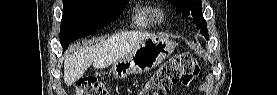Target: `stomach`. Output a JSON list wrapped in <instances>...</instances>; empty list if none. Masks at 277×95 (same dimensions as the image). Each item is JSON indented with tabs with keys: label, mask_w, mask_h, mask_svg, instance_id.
<instances>
[{
	"label": "stomach",
	"mask_w": 277,
	"mask_h": 95,
	"mask_svg": "<svg viewBox=\"0 0 277 95\" xmlns=\"http://www.w3.org/2000/svg\"><path fill=\"white\" fill-rule=\"evenodd\" d=\"M174 48L175 44L169 38L160 36L148 38L112 64L111 72L118 79H124L129 74L148 72L170 56Z\"/></svg>",
	"instance_id": "stomach-1"
}]
</instances>
